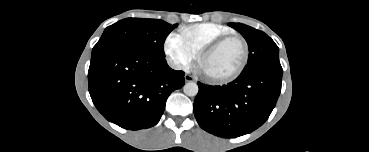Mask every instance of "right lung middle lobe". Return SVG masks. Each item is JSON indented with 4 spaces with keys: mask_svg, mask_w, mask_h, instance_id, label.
<instances>
[{
    "mask_svg": "<svg viewBox=\"0 0 369 152\" xmlns=\"http://www.w3.org/2000/svg\"><path fill=\"white\" fill-rule=\"evenodd\" d=\"M177 25L155 19L127 18L118 21L104 30L93 47L92 56L115 48H131L165 59V39Z\"/></svg>",
    "mask_w": 369,
    "mask_h": 152,
    "instance_id": "obj_1",
    "label": "right lung middle lobe"
}]
</instances>
